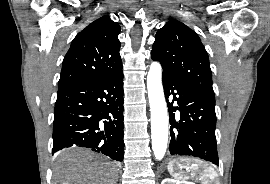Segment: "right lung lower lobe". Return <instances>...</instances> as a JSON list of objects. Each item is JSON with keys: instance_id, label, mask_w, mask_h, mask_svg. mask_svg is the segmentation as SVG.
<instances>
[{"instance_id": "1", "label": "right lung lower lobe", "mask_w": 270, "mask_h": 184, "mask_svg": "<svg viewBox=\"0 0 270 184\" xmlns=\"http://www.w3.org/2000/svg\"><path fill=\"white\" fill-rule=\"evenodd\" d=\"M123 93L122 69L106 77L58 88L52 154L78 145L122 161Z\"/></svg>"}]
</instances>
